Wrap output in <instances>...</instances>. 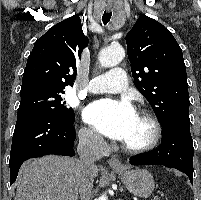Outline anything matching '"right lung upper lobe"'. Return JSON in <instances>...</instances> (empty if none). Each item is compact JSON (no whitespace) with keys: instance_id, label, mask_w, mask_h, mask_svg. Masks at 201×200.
I'll return each instance as SVG.
<instances>
[{"instance_id":"right-lung-upper-lobe-1","label":"right lung upper lobe","mask_w":201,"mask_h":200,"mask_svg":"<svg viewBox=\"0 0 201 200\" xmlns=\"http://www.w3.org/2000/svg\"><path fill=\"white\" fill-rule=\"evenodd\" d=\"M77 14L57 23L39 38L28 57L20 93L63 91L73 86L76 65L88 38Z\"/></svg>"}]
</instances>
